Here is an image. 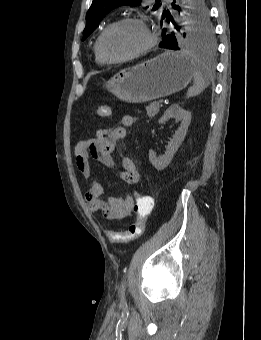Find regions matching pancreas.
Returning <instances> with one entry per match:
<instances>
[{"label": "pancreas", "mask_w": 261, "mask_h": 340, "mask_svg": "<svg viewBox=\"0 0 261 340\" xmlns=\"http://www.w3.org/2000/svg\"><path fill=\"white\" fill-rule=\"evenodd\" d=\"M160 110V104L159 102H152L149 106L146 107L147 115L150 118L155 117V115L158 114Z\"/></svg>", "instance_id": "cf45deb5"}]
</instances>
